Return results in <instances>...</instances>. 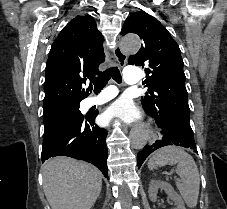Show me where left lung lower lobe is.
<instances>
[{"mask_svg": "<svg viewBox=\"0 0 227 209\" xmlns=\"http://www.w3.org/2000/svg\"><path fill=\"white\" fill-rule=\"evenodd\" d=\"M148 114L155 118L156 124L163 130L161 133L164 134V136L161 140H157L153 145H146L143 150L138 153V167H141L142 163L153 151L164 146L176 145L194 150L196 149L193 131L189 123L183 122L172 116ZM195 152L198 153L197 150H195Z\"/></svg>", "mask_w": 227, "mask_h": 209, "instance_id": "0a47b994", "label": "left lung lower lobe"}]
</instances>
